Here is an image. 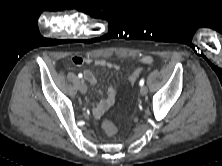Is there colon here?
<instances>
[{
  "mask_svg": "<svg viewBox=\"0 0 222 166\" xmlns=\"http://www.w3.org/2000/svg\"><path fill=\"white\" fill-rule=\"evenodd\" d=\"M141 71L142 70L140 68H137L131 73L129 77V81L131 84H134L137 81V79L139 78L141 74ZM102 128L105 131V133L109 136L114 135L117 131L115 125L110 120H104L102 122Z\"/></svg>",
  "mask_w": 222,
  "mask_h": 166,
  "instance_id": "1",
  "label": "colon"
}]
</instances>
